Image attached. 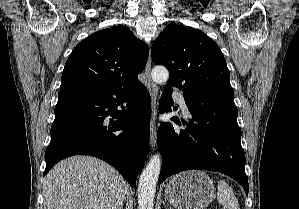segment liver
<instances>
[{
  "label": "liver",
  "instance_id": "1",
  "mask_svg": "<svg viewBox=\"0 0 299 209\" xmlns=\"http://www.w3.org/2000/svg\"><path fill=\"white\" fill-rule=\"evenodd\" d=\"M127 183L112 166L90 156L55 165L44 179V209H120Z\"/></svg>",
  "mask_w": 299,
  "mask_h": 209
}]
</instances>
